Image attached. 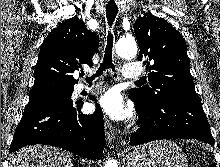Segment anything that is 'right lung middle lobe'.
I'll list each match as a JSON object with an SVG mask.
<instances>
[{"mask_svg": "<svg viewBox=\"0 0 220 167\" xmlns=\"http://www.w3.org/2000/svg\"><path fill=\"white\" fill-rule=\"evenodd\" d=\"M72 92H73V90H69V91L57 93L56 95H60V96H71V95H72Z\"/></svg>", "mask_w": 220, "mask_h": 167, "instance_id": "obj_1", "label": "right lung middle lobe"}]
</instances>
